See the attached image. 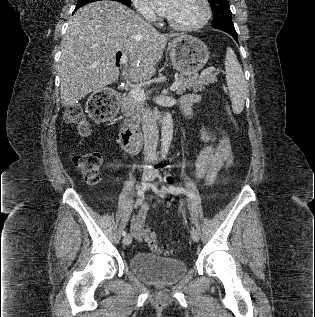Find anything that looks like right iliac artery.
Wrapping results in <instances>:
<instances>
[{
	"mask_svg": "<svg viewBox=\"0 0 315 317\" xmlns=\"http://www.w3.org/2000/svg\"><path fill=\"white\" fill-rule=\"evenodd\" d=\"M138 198H137V203L138 205H141L144 201V191L143 189L138 190ZM122 236H126V231H122Z\"/></svg>",
	"mask_w": 315,
	"mask_h": 317,
	"instance_id": "1",
	"label": "right iliac artery"
}]
</instances>
